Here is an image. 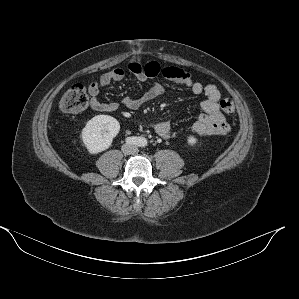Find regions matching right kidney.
Returning <instances> with one entry per match:
<instances>
[{"label":"right kidney","mask_w":299,"mask_h":299,"mask_svg":"<svg viewBox=\"0 0 299 299\" xmlns=\"http://www.w3.org/2000/svg\"><path fill=\"white\" fill-rule=\"evenodd\" d=\"M120 131L119 122L108 115H97L82 129L81 137L89 153L97 154L108 149Z\"/></svg>","instance_id":"1"}]
</instances>
